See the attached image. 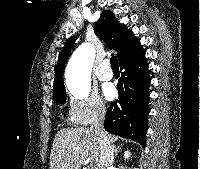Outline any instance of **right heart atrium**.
<instances>
[{"label":"right heart atrium","mask_w":200,"mask_h":169,"mask_svg":"<svg viewBox=\"0 0 200 169\" xmlns=\"http://www.w3.org/2000/svg\"><path fill=\"white\" fill-rule=\"evenodd\" d=\"M106 114L107 106L97 94H90L82 98H71L69 100L68 117L74 125H89L103 119Z\"/></svg>","instance_id":"obj_1"}]
</instances>
